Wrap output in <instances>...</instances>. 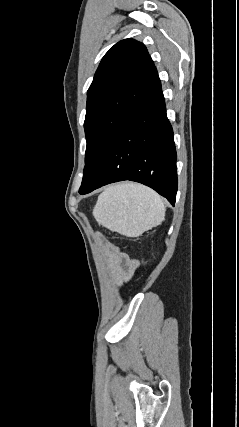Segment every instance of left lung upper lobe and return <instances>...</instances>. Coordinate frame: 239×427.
<instances>
[{
  "label": "left lung upper lobe",
  "mask_w": 239,
  "mask_h": 427,
  "mask_svg": "<svg viewBox=\"0 0 239 427\" xmlns=\"http://www.w3.org/2000/svg\"><path fill=\"white\" fill-rule=\"evenodd\" d=\"M156 67L143 43L125 39L102 58L87 92L82 191L123 124L159 89Z\"/></svg>",
  "instance_id": "1"
}]
</instances>
